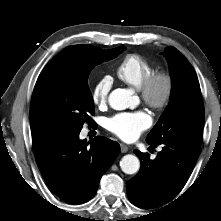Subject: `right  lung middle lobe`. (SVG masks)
<instances>
[{"label": "right lung middle lobe", "instance_id": "right-lung-middle-lobe-1", "mask_svg": "<svg viewBox=\"0 0 221 221\" xmlns=\"http://www.w3.org/2000/svg\"><path fill=\"white\" fill-rule=\"evenodd\" d=\"M126 47L103 50L92 45L63 49L43 69L31 99L32 133L46 129L81 130L94 115L88 75L98 64L118 56Z\"/></svg>", "mask_w": 221, "mask_h": 221}]
</instances>
